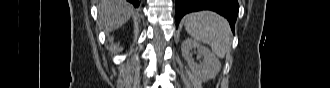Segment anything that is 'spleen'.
Listing matches in <instances>:
<instances>
[{"label": "spleen", "mask_w": 330, "mask_h": 88, "mask_svg": "<svg viewBox=\"0 0 330 88\" xmlns=\"http://www.w3.org/2000/svg\"><path fill=\"white\" fill-rule=\"evenodd\" d=\"M184 25L195 40L208 44L219 58L225 57L231 37L226 19L212 11H199L186 15Z\"/></svg>", "instance_id": "1"}]
</instances>
